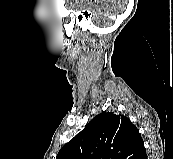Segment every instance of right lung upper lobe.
Instances as JSON below:
<instances>
[{
  "label": "right lung upper lobe",
  "instance_id": "right-lung-upper-lobe-1",
  "mask_svg": "<svg viewBox=\"0 0 173 159\" xmlns=\"http://www.w3.org/2000/svg\"><path fill=\"white\" fill-rule=\"evenodd\" d=\"M144 151L136 126L124 115L104 111L66 143L56 159H137Z\"/></svg>",
  "mask_w": 173,
  "mask_h": 159
}]
</instances>
